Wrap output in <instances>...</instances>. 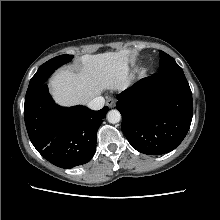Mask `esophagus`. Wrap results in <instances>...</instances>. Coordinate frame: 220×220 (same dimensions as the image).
Segmentation results:
<instances>
[{
	"mask_svg": "<svg viewBox=\"0 0 220 220\" xmlns=\"http://www.w3.org/2000/svg\"><path fill=\"white\" fill-rule=\"evenodd\" d=\"M106 104L108 107L113 108L115 106V100L110 98L107 100Z\"/></svg>",
	"mask_w": 220,
	"mask_h": 220,
	"instance_id": "obj_1",
	"label": "esophagus"
}]
</instances>
